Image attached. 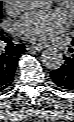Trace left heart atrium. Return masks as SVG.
<instances>
[{"mask_svg":"<svg viewBox=\"0 0 74 122\" xmlns=\"http://www.w3.org/2000/svg\"><path fill=\"white\" fill-rule=\"evenodd\" d=\"M67 23V17L59 11L37 10L25 14L16 27L26 39L46 42L62 32Z\"/></svg>","mask_w":74,"mask_h":122,"instance_id":"left-heart-atrium-1","label":"left heart atrium"}]
</instances>
